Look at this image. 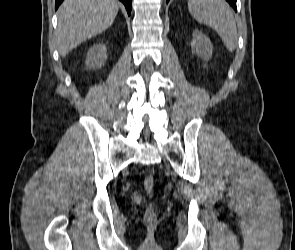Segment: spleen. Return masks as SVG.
<instances>
[{"label":"spleen","instance_id":"obj_1","mask_svg":"<svg viewBox=\"0 0 295 250\" xmlns=\"http://www.w3.org/2000/svg\"><path fill=\"white\" fill-rule=\"evenodd\" d=\"M191 15L215 29L229 51L237 47L238 35L233 13L225 0H188Z\"/></svg>","mask_w":295,"mask_h":250}]
</instances>
